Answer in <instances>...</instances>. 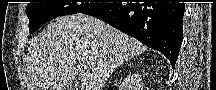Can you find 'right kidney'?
Returning <instances> with one entry per match:
<instances>
[{
    "mask_svg": "<svg viewBox=\"0 0 216 90\" xmlns=\"http://www.w3.org/2000/svg\"><path fill=\"white\" fill-rule=\"evenodd\" d=\"M135 80L136 86H139L140 82H142V78H139V76H132L131 80Z\"/></svg>",
    "mask_w": 216,
    "mask_h": 90,
    "instance_id": "ca27d5eb",
    "label": "right kidney"
}]
</instances>
